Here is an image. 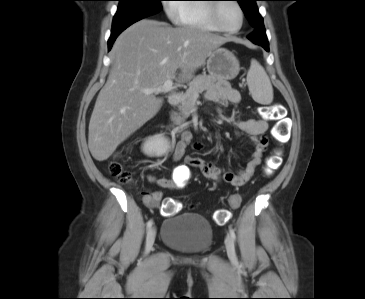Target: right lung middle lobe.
<instances>
[{
  "label": "right lung middle lobe",
  "mask_w": 365,
  "mask_h": 299,
  "mask_svg": "<svg viewBox=\"0 0 365 299\" xmlns=\"http://www.w3.org/2000/svg\"><path fill=\"white\" fill-rule=\"evenodd\" d=\"M119 6L113 23L144 18L159 13L162 10V0H118Z\"/></svg>",
  "instance_id": "1"
}]
</instances>
